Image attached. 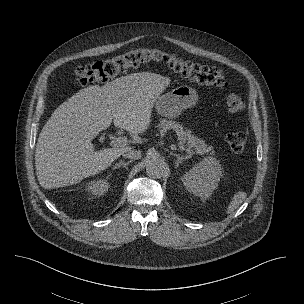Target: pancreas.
I'll return each mask as SVG.
<instances>
[{"label": "pancreas", "mask_w": 304, "mask_h": 304, "mask_svg": "<svg viewBox=\"0 0 304 304\" xmlns=\"http://www.w3.org/2000/svg\"><path fill=\"white\" fill-rule=\"evenodd\" d=\"M157 127L160 131L164 132L169 129L175 131L181 142L183 144H186L187 147L192 148L196 154H214V151L212 150L213 148L211 146H208L204 140L193 135L191 130L184 128L181 124L174 120L162 119L157 124Z\"/></svg>", "instance_id": "cf45deb5"}]
</instances>
